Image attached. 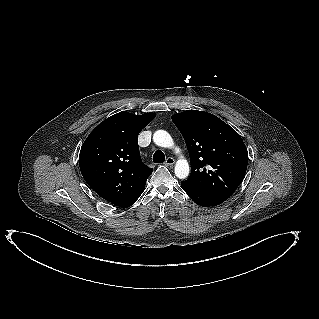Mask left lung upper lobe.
I'll return each instance as SVG.
<instances>
[{"instance_id":"5c2ea615","label":"left lung upper lobe","mask_w":319,"mask_h":319,"mask_svg":"<svg viewBox=\"0 0 319 319\" xmlns=\"http://www.w3.org/2000/svg\"><path fill=\"white\" fill-rule=\"evenodd\" d=\"M172 121L184 137L191 160L185 184L227 200L242 182L248 152L239 134L213 114L188 110Z\"/></svg>"}]
</instances>
